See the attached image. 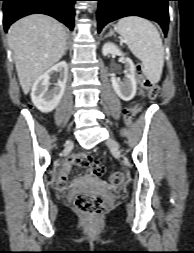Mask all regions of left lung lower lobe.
<instances>
[{
	"label": "left lung lower lobe",
	"instance_id": "0a47b994",
	"mask_svg": "<svg viewBox=\"0 0 194 253\" xmlns=\"http://www.w3.org/2000/svg\"><path fill=\"white\" fill-rule=\"evenodd\" d=\"M98 32L109 22L125 16H140L156 21L167 35L168 1L171 0H97Z\"/></svg>",
	"mask_w": 194,
	"mask_h": 253
}]
</instances>
